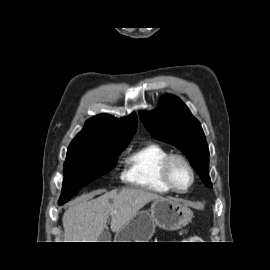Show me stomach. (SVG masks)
I'll use <instances>...</instances> for the list:
<instances>
[{"label":"stomach","mask_w":270,"mask_h":270,"mask_svg":"<svg viewBox=\"0 0 270 270\" xmlns=\"http://www.w3.org/2000/svg\"><path fill=\"white\" fill-rule=\"evenodd\" d=\"M191 209L172 198H159L152 202L149 211L140 210L115 234L116 242H148L155 227L178 230L192 219Z\"/></svg>","instance_id":"obj_1"}]
</instances>
